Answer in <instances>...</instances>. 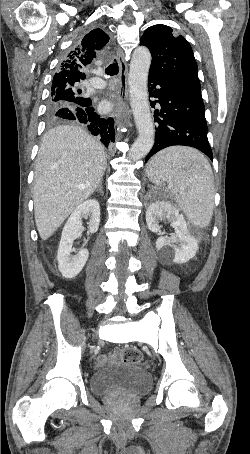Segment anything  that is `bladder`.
I'll return each instance as SVG.
<instances>
[{
  "mask_svg": "<svg viewBox=\"0 0 250 454\" xmlns=\"http://www.w3.org/2000/svg\"><path fill=\"white\" fill-rule=\"evenodd\" d=\"M90 389L99 397L143 396L151 390L149 371L134 363H118L97 370L90 375Z\"/></svg>",
  "mask_w": 250,
  "mask_h": 454,
  "instance_id": "obj_1",
  "label": "bladder"
}]
</instances>
